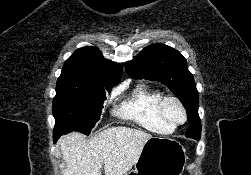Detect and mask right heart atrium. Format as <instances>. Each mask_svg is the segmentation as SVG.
Listing matches in <instances>:
<instances>
[{
  "label": "right heart atrium",
  "mask_w": 251,
  "mask_h": 175,
  "mask_svg": "<svg viewBox=\"0 0 251 175\" xmlns=\"http://www.w3.org/2000/svg\"><path fill=\"white\" fill-rule=\"evenodd\" d=\"M109 101L112 102V101H113V97H111V98L109 99Z\"/></svg>",
  "instance_id": "obj_1"
}]
</instances>
